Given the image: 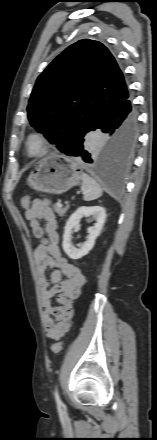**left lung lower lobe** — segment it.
I'll use <instances>...</instances> for the list:
<instances>
[{
    "label": "left lung lower lobe",
    "instance_id": "0a47b994",
    "mask_svg": "<svg viewBox=\"0 0 157 440\" xmlns=\"http://www.w3.org/2000/svg\"><path fill=\"white\" fill-rule=\"evenodd\" d=\"M95 130L105 133L99 151L92 153L83 138L63 153L78 157L91 171L121 178L131 165L138 134V116L129 93L98 117Z\"/></svg>",
    "mask_w": 157,
    "mask_h": 440
}]
</instances>
